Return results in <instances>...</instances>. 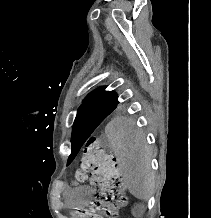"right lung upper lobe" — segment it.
I'll list each match as a JSON object with an SVG mask.
<instances>
[{"instance_id":"obj_1","label":"right lung upper lobe","mask_w":211,"mask_h":218,"mask_svg":"<svg viewBox=\"0 0 211 218\" xmlns=\"http://www.w3.org/2000/svg\"><path fill=\"white\" fill-rule=\"evenodd\" d=\"M117 101V95L112 91H105L104 87H101L91 92L83 101L84 103L91 102H114Z\"/></svg>"}]
</instances>
